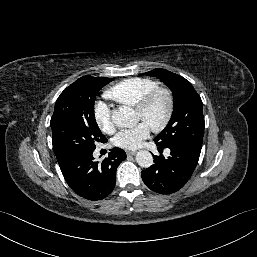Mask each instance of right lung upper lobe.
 Returning a JSON list of instances; mask_svg holds the SVG:
<instances>
[{
	"label": "right lung upper lobe",
	"instance_id": "obj_1",
	"mask_svg": "<svg viewBox=\"0 0 257 257\" xmlns=\"http://www.w3.org/2000/svg\"><path fill=\"white\" fill-rule=\"evenodd\" d=\"M66 161H60L58 162L59 163V166H62L63 164H65Z\"/></svg>",
	"mask_w": 257,
	"mask_h": 257
}]
</instances>
